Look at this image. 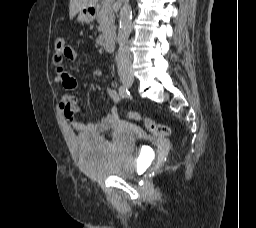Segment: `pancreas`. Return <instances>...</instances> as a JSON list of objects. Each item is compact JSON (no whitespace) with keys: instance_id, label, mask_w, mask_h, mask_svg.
<instances>
[{"instance_id":"cf45deb5","label":"pancreas","mask_w":256,"mask_h":228,"mask_svg":"<svg viewBox=\"0 0 256 228\" xmlns=\"http://www.w3.org/2000/svg\"><path fill=\"white\" fill-rule=\"evenodd\" d=\"M112 1V0H111ZM108 3L105 0L102 2L101 9L97 16V21L99 23L98 31L103 34L111 32L114 28V14L112 11V2Z\"/></svg>"}]
</instances>
